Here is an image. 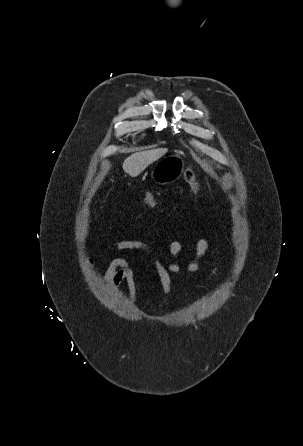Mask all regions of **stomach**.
Wrapping results in <instances>:
<instances>
[{
  "instance_id": "stomach-1",
  "label": "stomach",
  "mask_w": 303,
  "mask_h": 446,
  "mask_svg": "<svg viewBox=\"0 0 303 446\" xmlns=\"http://www.w3.org/2000/svg\"><path fill=\"white\" fill-rule=\"evenodd\" d=\"M185 163L179 155H171L160 160L151 173L155 184L166 185L178 180L184 172Z\"/></svg>"
}]
</instances>
